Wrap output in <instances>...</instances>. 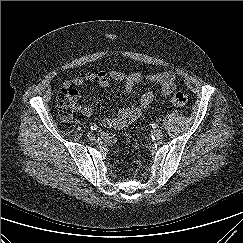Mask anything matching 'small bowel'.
<instances>
[{
    "label": "small bowel",
    "mask_w": 243,
    "mask_h": 243,
    "mask_svg": "<svg viewBox=\"0 0 243 243\" xmlns=\"http://www.w3.org/2000/svg\"><path fill=\"white\" fill-rule=\"evenodd\" d=\"M144 79L157 84L161 88V94L163 96H169L175 89V74L170 71L144 74L140 71L132 73H123L118 70L110 71H98V72H87L83 76H76L70 81H66L64 86L67 89L73 91L76 99L79 98V93L75 89H71L72 86L80 87L85 82L96 81L99 86L107 87L110 80L123 83L124 90L127 93H131L133 89L139 85ZM154 100V93L147 91L143 93L139 101L131 103L129 106L122 108L116 115L107 116L102 120V125L107 128L121 129L137 119L142 111L148 108ZM80 113L86 117L92 115V109L88 106L77 107ZM105 140L109 143L114 142V138L111 135H105Z\"/></svg>",
    "instance_id": "obj_1"
}]
</instances>
